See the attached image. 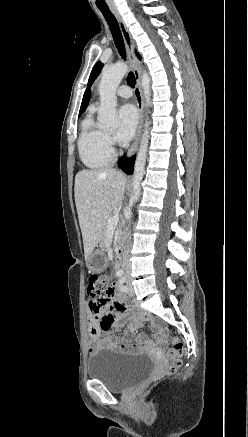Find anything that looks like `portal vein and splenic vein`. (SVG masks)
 <instances>
[{"instance_id":"18ae733b","label":"portal vein and splenic vein","mask_w":248,"mask_h":437,"mask_svg":"<svg viewBox=\"0 0 248 437\" xmlns=\"http://www.w3.org/2000/svg\"><path fill=\"white\" fill-rule=\"evenodd\" d=\"M118 222H119V215H118V214H115L113 217H111V218L108 220V222H107V224H108L107 228L110 229V230L116 228V226L118 225Z\"/></svg>"}]
</instances>
